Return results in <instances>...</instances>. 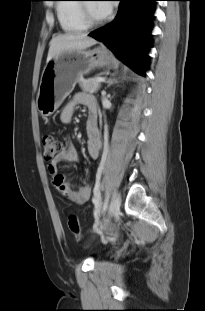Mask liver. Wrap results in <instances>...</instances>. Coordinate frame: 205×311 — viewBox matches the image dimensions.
<instances>
[{
	"mask_svg": "<svg viewBox=\"0 0 205 311\" xmlns=\"http://www.w3.org/2000/svg\"><path fill=\"white\" fill-rule=\"evenodd\" d=\"M97 41L85 33L63 34L50 41L47 61L58 57L63 52L83 50L95 45Z\"/></svg>",
	"mask_w": 205,
	"mask_h": 311,
	"instance_id": "liver-1",
	"label": "liver"
}]
</instances>
